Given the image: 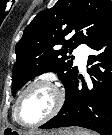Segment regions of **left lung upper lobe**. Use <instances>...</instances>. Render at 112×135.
<instances>
[{
    "label": "left lung upper lobe",
    "instance_id": "left-lung-upper-lobe-1",
    "mask_svg": "<svg viewBox=\"0 0 112 135\" xmlns=\"http://www.w3.org/2000/svg\"><path fill=\"white\" fill-rule=\"evenodd\" d=\"M111 22V0H58L39 12L16 45L13 95L32 78L50 71L67 89L78 72L68 54L82 43L92 45ZM66 36L70 38L65 40Z\"/></svg>",
    "mask_w": 112,
    "mask_h": 135
}]
</instances>
